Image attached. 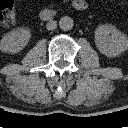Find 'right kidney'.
<instances>
[{"instance_id": "obj_1", "label": "right kidney", "mask_w": 128, "mask_h": 128, "mask_svg": "<svg viewBox=\"0 0 128 128\" xmlns=\"http://www.w3.org/2000/svg\"><path fill=\"white\" fill-rule=\"evenodd\" d=\"M31 37L29 28H18L8 32L0 42V50L5 53H18L25 48Z\"/></svg>"}]
</instances>
